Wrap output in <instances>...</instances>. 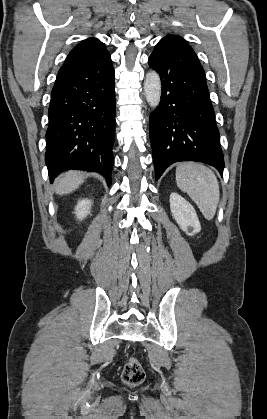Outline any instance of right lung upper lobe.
I'll return each mask as SVG.
<instances>
[{
	"label": "right lung upper lobe",
	"instance_id": "obj_1",
	"mask_svg": "<svg viewBox=\"0 0 267 419\" xmlns=\"http://www.w3.org/2000/svg\"><path fill=\"white\" fill-rule=\"evenodd\" d=\"M110 54L104 44L95 38L83 40L67 56L64 65L99 66L109 62Z\"/></svg>",
	"mask_w": 267,
	"mask_h": 419
}]
</instances>
